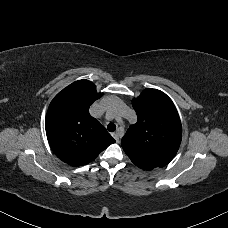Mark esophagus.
<instances>
[{
    "label": "esophagus",
    "instance_id": "1",
    "mask_svg": "<svg viewBox=\"0 0 228 228\" xmlns=\"http://www.w3.org/2000/svg\"><path fill=\"white\" fill-rule=\"evenodd\" d=\"M113 137L115 138V140L117 142H119V138H120L119 130H117L115 133H113Z\"/></svg>",
    "mask_w": 228,
    "mask_h": 228
}]
</instances>
